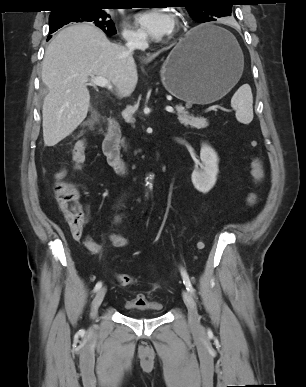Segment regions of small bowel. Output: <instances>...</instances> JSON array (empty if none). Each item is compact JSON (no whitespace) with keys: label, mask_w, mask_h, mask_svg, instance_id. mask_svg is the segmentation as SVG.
Masks as SVG:
<instances>
[{"label":"small bowel","mask_w":306,"mask_h":387,"mask_svg":"<svg viewBox=\"0 0 306 387\" xmlns=\"http://www.w3.org/2000/svg\"><path fill=\"white\" fill-rule=\"evenodd\" d=\"M67 175V169L64 165H61L60 169L54 173L53 178L55 180H61ZM120 220V216H116L114 219V222H118ZM110 240L112 244L115 247L122 248L125 247L128 243V241L117 234H111ZM85 247L91 252V253H97L100 250V245L90 236H87L84 240ZM134 304H141L144 302L142 297H137L135 300H133Z\"/></svg>","instance_id":"c3829d8e"}]
</instances>
